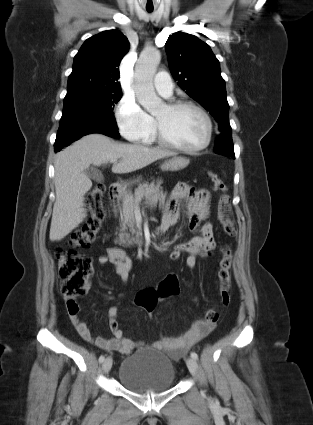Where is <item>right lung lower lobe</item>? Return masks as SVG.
Segmentation results:
<instances>
[{
	"label": "right lung lower lobe",
	"mask_w": 313,
	"mask_h": 425,
	"mask_svg": "<svg viewBox=\"0 0 313 425\" xmlns=\"http://www.w3.org/2000/svg\"><path fill=\"white\" fill-rule=\"evenodd\" d=\"M114 116L76 108L63 110L54 151L58 152L73 141L92 133L119 138Z\"/></svg>",
	"instance_id": "98d812e1"
}]
</instances>
